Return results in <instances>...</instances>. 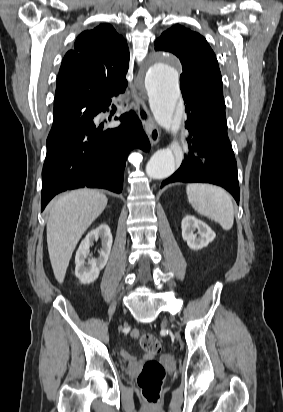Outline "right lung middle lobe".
Returning a JSON list of instances; mask_svg holds the SVG:
<instances>
[{"instance_id":"obj_1","label":"right lung middle lobe","mask_w":283,"mask_h":412,"mask_svg":"<svg viewBox=\"0 0 283 412\" xmlns=\"http://www.w3.org/2000/svg\"><path fill=\"white\" fill-rule=\"evenodd\" d=\"M86 105H87V103H79V104L75 105L74 107H72V108L69 109V110H65V111H62L61 113L54 114V118H62L63 116H65V115H66L67 113H69L70 111L76 110V109H80V108H82V107H84V106H86Z\"/></svg>"}]
</instances>
